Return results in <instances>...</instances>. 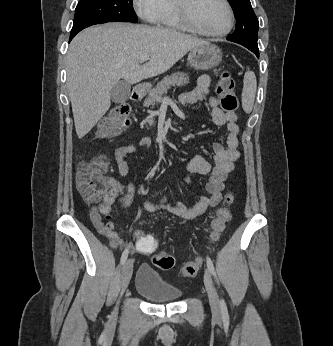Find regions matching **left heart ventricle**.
I'll return each mask as SVG.
<instances>
[{"label": "left heart ventricle", "instance_id": "1", "mask_svg": "<svg viewBox=\"0 0 333 346\" xmlns=\"http://www.w3.org/2000/svg\"><path fill=\"white\" fill-rule=\"evenodd\" d=\"M192 14L207 32L222 31L228 23V13L221 0H194Z\"/></svg>", "mask_w": 333, "mask_h": 346}]
</instances>
